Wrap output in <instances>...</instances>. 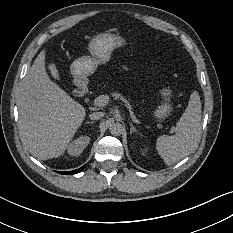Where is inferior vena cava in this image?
<instances>
[{
  "label": "inferior vena cava",
  "instance_id": "inferior-vena-cava-1",
  "mask_svg": "<svg viewBox=\"0 0 233 233\" xmlns=\"http://www.w3.org/2000/svg\"><path fill=\"white\" fill-rule=\"evenodd\" d=\"M104 115H105L104 112L99 111V112H93V113H91L89 117L92 120H98V119L102 118Z\"/></svg>",
  "mask_w": 233,
  "mask_h": 233
}]
</instances>
